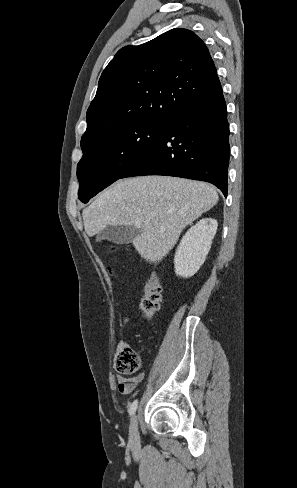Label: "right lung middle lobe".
Here are the masks:
<instances>
[{
	"instance_id": "obj_1",
	"label": "right lung middle lobe",
	"mask_w": 297,
	"mask_h": 488,
	"mask_svg": "<svg viewBox=\"0 0 297 488\" xmlns=\"http://www.w3.org/2000/svg\"><path fill=\"white\" fill-rule=\"evenodd\" d=\"M169 121L148 120L108 133L83 150L77 165L79 200L87 203L120 179L156 142Z\"/></svg>"
}]
</instances>
